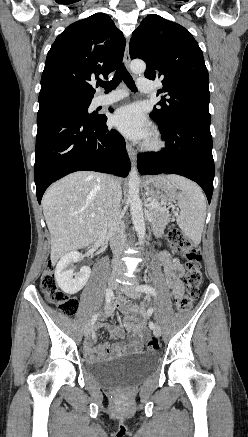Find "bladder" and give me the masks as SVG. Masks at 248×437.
Instances as JSON below:
<instances>
[{"instance_id": "obj_1", "label": "bladder", "mask_w": 248, "mask_h": 437, "mask_svg": "<svg viewBox=\"0 0 248 437\" xmlns=\"http://www.w3.org/2000/svg\"><path fill=\"white\" fill-rule=\"evenodd\" d=\"M157 360L158 355L154 352L122 354L90 363L87 373L108 386L130 385L149 374L155 368Z\"/></svg>"}]
</instances>
